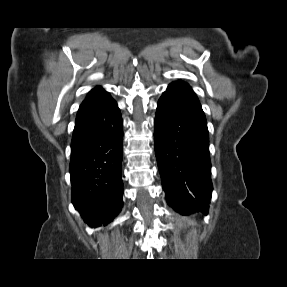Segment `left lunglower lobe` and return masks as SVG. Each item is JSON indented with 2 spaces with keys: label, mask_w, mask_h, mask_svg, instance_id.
Segmentation results:
<instances>
[{
  "label": "left lung lower lobe",
  "mask_w": 287,
  "mask_h": 287,
  "mask_svg": "<svg viewBox=\"0 0 287 287\" xmlns=\"http://www.w3.org/2000/svg\"><path fill=\"white\" fill-rule=\"evenodd\" d=\"M154 142L168 204L183 215L207 214L212 182L206 118L175 84L158 101Z\"/></svg>",
  "instance_id": "1"
}]
</instances>
